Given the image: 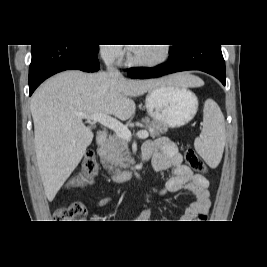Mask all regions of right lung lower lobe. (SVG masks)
<instances>
[{
	"mask_svg": "<svg viewBox=\"0 0 267 267\" xmlns=\"http://www.w3.org/2000/svg\"><path fill=\"white\" fill-rule=\"evenodd\" d=\"M96 51L85 45H32L29 95L48 77L65 70L96 72L100 68Z\"/></svg>",
	"mask_w": 267,
	"mask_h": 267,
	"instance_id": "98d812e1",
	"label": "right lung lower lobe"
}]
</instances>
